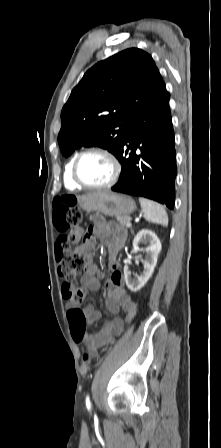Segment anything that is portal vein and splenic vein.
<instances>
[{
    "mask_svg": "<svg viewBox=\"0 0 221 448\" xmlns=\"http://www.w3.org/2000/svg\"><path fill=\"white\" fill-rule=\"evenodd\" d=\"M132 226V223L129 221L127 224H126V227L127 228H130Z\"/></svg>",
    "mask_w": 221,
    "mask_h": 448,
    "instance_id": "1",
    "label": "portal vein and splenic vein"
}]
</instances>
